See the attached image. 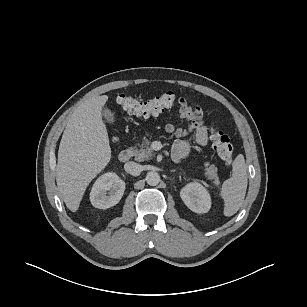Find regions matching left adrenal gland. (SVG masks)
Listing matches in <instances>:
<instances>
[{
	"mask_svg": "<svg viewBox=\"0 0 307 307\" xmlns=\"http://www.w3.org/2000/svg\"><path fill=\"white\" fill-rule=\"evenodd\" d=\"M176 170L175 169H173V170H171L170 172H175Z\"/></svg>",
	"mask_w": 307,
	"mask_h": 307,
	"instance_id": "left-adrenal-gland-1",
	"label": "left adrenal gland"
}]
</instances>
